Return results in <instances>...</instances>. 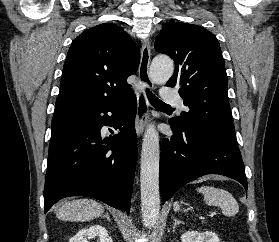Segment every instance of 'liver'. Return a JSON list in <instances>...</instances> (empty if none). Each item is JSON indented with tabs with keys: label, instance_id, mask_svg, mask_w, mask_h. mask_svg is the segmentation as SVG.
Wrapping results in <instances>:
<instances>
[{
	"label": "liver",
	"instance_id": "1",
	"mask_svg": "<svg viewBox=\"0 0 279 242\" xmlns=\"http://www.w3.org/2000/svg\"><path fill=\"white\" fill-rule=\"evenodd\" d=\"M104 207L91 199H76L63 203L56 211L62 221H89L102 216Z\"/></svg>",
	"mask_w": 279,
	"mask_h": 242
}]
</instances>
